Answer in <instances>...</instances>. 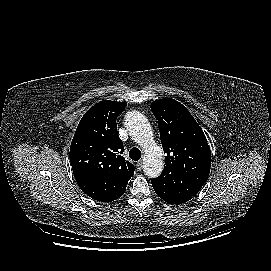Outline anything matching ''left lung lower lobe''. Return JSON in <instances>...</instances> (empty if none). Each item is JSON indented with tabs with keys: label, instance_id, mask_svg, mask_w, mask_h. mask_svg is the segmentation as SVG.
Wrapping results in <instances>:
<instances>
[{
	"label": "left lung lower lobe",
	"instance_id": "left-lung-lower-lobe-1",
	"mask_svg": "<svg viewBox=\"0 0 271 271\" xmlns=\"http://www.w3.org/2000/svg\"><path fill=\"white\" fill-rule=\"evenodd\" d=\"M156 194L167 203L181 204L192 199L201 189L199 184L189 181L177 172L152 180Z\"/></svg>",
	"mask_w": 271,
	"mask_h": 271
}]
</instances>
